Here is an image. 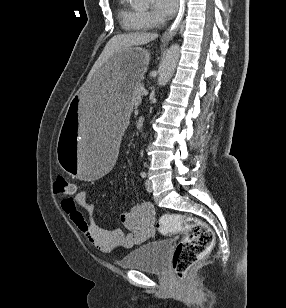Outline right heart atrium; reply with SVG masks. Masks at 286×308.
Masks as SVG:
<instances>
[{"instance_id": "d8ad5b80", "label": "right heart atrium", "mask_w": 286, "mask_h": 308, "mask_svg": "<svg viewBox=\"0 0 286 308\" xmlns=\"http://www.w3.org/2000/svg\"><path fill=\"white\" fill-rule=\"evenodd\" d=\"M145 21L149 24V26L155 25L157 23V19L151 15L150 13H143Z\"/></svg>"}]
</instances>
